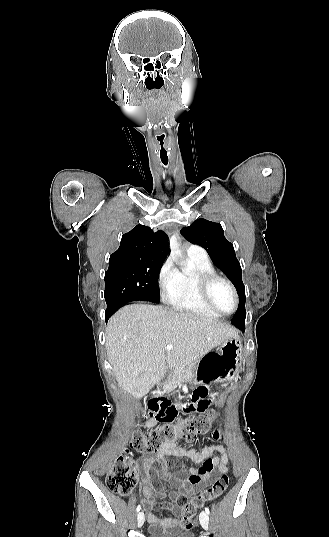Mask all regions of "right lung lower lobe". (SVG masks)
I'll return each instance as SVG.
<instances>
[{"instance_id": "98d812e1", "label": "right lung lower lobe", "mask_w": 329, "mask_h": 537, "mask_svg": "<svg viewBox=\"0 0 329 537\" xmlns=\"http://www.w3.org/2000/svg\"><path fill=\"white\" fill-rule=\"evenodd\" d=\"M113 313H115V311H114V312H110V311L106 310V317H105V321H106V322L108 321L109 317H110Z\"/></svg>"}]
</instances>
